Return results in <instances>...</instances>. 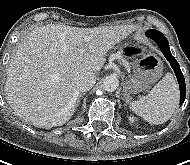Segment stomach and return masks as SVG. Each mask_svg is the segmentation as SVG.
<instances>
[{
  "label": "stomach",
  "mask_w": 190,
  "mask_h": 165,
  "mask_svg": "<svg viewBox=\"0 0 190 165\" xmlns=\"http://www.w3.org/2000/svg\"><path fill=\"white\" fill-rule=\"evenodd\" d=\"M140 58L136 59L133 65V74L130 77V87L134 93L142 92L151 87L162 73V62L161 60L151 54L140 49Z\"/></svg>",
  "instance_id": "obj_1"
}]
</instances>
